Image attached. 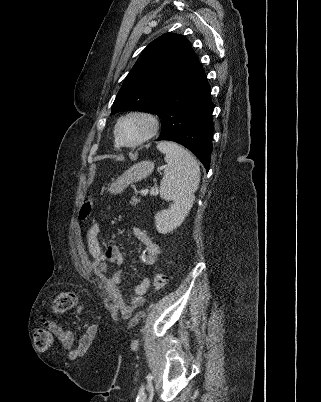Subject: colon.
Returning <instances> with one entry per match:
<instances>
[{
	"mask_svg": "<svg viewBox=\"0 0 321 402\" xmlns=\"http://www.w3.org/2000/svg\"><path fill=\"white\" fill-rule=\"evenodd\" d=\"M95 200L88 197L83 200L79 210V219H87L94 207ZM167 277L165 274L158 272L155 274L153 284L156 290H161L165 287ZM77 294L73 291H63L59 293L53 300L52 307L56 314H64L71 311L77 304ZM35 345L38 349L47 350L51 347L53 337L49 330L46 328H38L34 335Z\"/></svg>",
	"mask_w": 321,
	"mask_h": 402,
	"instance_id": "colon-1",
	"label": "colon"
}]
</instances>
